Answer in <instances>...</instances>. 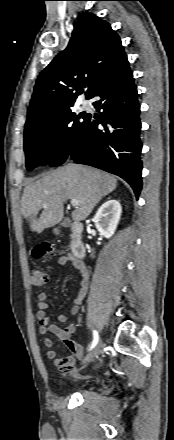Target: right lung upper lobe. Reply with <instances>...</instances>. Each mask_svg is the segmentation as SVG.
Masks as SVG:
<instances>
[{"label":"right lung upper lobe","instance_id":"obj_1","mask_svg":"<svg viewBox=\"0 0 174 440\" xmlns=\"http://www.w3.org/2000/svg\"><path fill=\"white\" fill-rule=\"evenodd\" d=\"M127 61L121 40L97 16L80 15L67 48L39 75L27 112L25 131L70 109L81 87L89 99L105 77Z\"/></svg>","mask_w":174,"mask_h":440}]
</instances>
